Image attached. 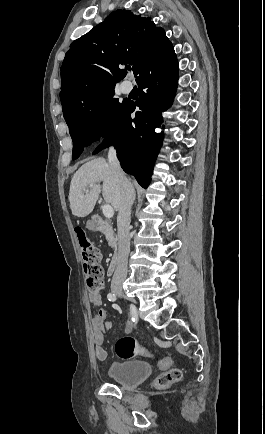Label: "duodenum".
Listing matches in <instances>:
<instances>
[{"mask_svg": "<svg viewBox=\"0 0 265 434\" xmlns=\"http://www.w3.org/2000/svg\"><path fill=\"white\" fill-rule=\"evenodd\" d=\"M95 226H96L95 229L98 232L106 233L109 235H112V233H113V227L107 223L95 221ZM118 261H119L118 255H117V253H115L112 256V259L110 260V263L107 267L108 274L113 275L115 273L116 268L118 266Z\"/></svg>", "mask_w": 265, "mask_h": 434, "instance_id": "duodenum-1", "label": "duodenum"}]
</instances>
